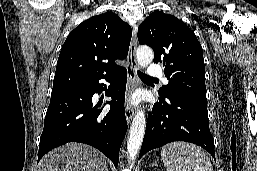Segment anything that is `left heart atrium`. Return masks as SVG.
Returning <instances> with one entry per match:
<instances>
[{
  "instance_id": "left-heart-atrium-1",
  "label": "left heart atrium",
  "mask_w": 257,
  "mask_h": 171,
  "mask_svg": "<svg viewBox=\"0 0 257 171\" xmlns=\"http://www.w3.org/2000/svg\"><path fill=\"white\" fill-rule=\"evenodd\" d=\"M140 97L138 95H134L132 96V98L130 99L131 103L135 104L139 101Z\"/></svg>"
}]
</instances>
